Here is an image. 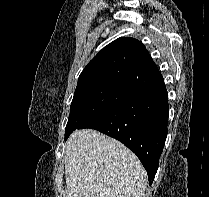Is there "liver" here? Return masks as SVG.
<instances>
[{"label":"liver","mask_w":209,"mask_h":197,"mask_svg":"<svg viewBox=\"0 0 209 197\" xmlns=\"http://www.w3.org/2000/svg\"><path fill=\"white\" fill-rule=\"evenodd\" d=\"M64 163L67 197H144L147 173L137 156L96 130L70 135Z\"/></svg>","instance_id":"1"}]
</instances>
